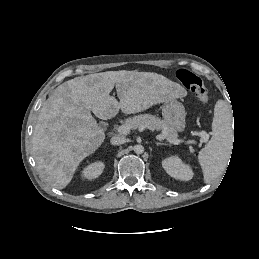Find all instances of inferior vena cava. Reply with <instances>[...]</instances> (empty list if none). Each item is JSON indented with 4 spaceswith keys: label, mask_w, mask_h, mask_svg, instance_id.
I'll return each instance as SVG.
<instances>
[{
    "label": "inferior vena cava",
    "mask_w": 259,
    "mask_h": 259,
    "mask_svg": "<svg viewBox=\"0 0 259 259\" xmlns=\"http://www.w3.org/2000/svg\"><path fill=\"white\" fill-rule=\"evenodd\" d=\"M111 144L112 145H121L127 142V139L125 137L122 136H113L111 138Z\"/></svg>",
    "instance_id": "1"
}]
</instances>
